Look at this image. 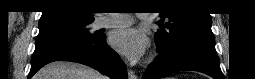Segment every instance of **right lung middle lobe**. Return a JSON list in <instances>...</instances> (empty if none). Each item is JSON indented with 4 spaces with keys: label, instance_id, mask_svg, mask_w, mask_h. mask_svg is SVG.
I'll list each match as a JSON object with an SVG mask.
<instances>
[{
    "label": "right lung middle lobe",
    "instance_id": "dd1d6c3e",
    "mask_svg": "<svg viewBox=\"0 0 255 79\" xmlns=\"http://www.w3.org/2000/svg\"><path fill=\"white\" fill-rule=\"evenodd\" d=\"M92 21H85L74 16H59L39 20V34L36 41L45 38L61 37L74 40H92L97 34L89 31V24Z\"/></svg>",
    "mask_w": 255,
    "mask_h": 79
}]
</instances>
